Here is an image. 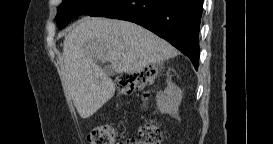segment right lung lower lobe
<instances>
[{"label":"right lung lower lobe","instance_id":"right-lung-lower-lobe-1","mask_svg":"<svg viewBox=\"0 0 273 144\" xmlns=\"http://www.w3.org/2000/svg\"><path fill=\"white\" fill-rule=\"evenodd\" d=\"M203 0H109L90 16L137 23L164 38L199 64V30Z\"/></svg>","mask_w":273,"mask_h":144}]
</instances>
